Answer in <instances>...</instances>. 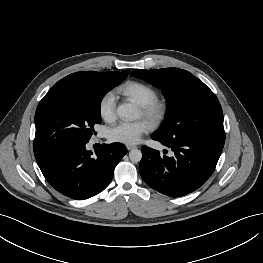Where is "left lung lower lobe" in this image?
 <instances>
[{
  "label": "left lung lower lobe",
  "mask_w": 263,
  "mask_h": 263,
  "mask_svg": "<svg viewBox=\"0 0 263 263\" xmlns=\"http://www.w3.org/2000/svg\"><path fill=\"white\" fill-rule=\"evenodd\" d=\"M152 139L171 148L174 156H161L159 151L143 146L139 165L141 177L158 192L178 197L197 190L212 175L224 146L225 134L168 140L153 134Z\"/></svg>",
  "instance_id": "0a47b994"
}]
</instances>
